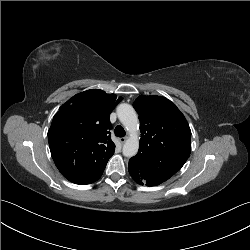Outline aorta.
Masks as SVG:
<instances>
[{
	"label": "aorta",
	"instance_id": "obj_1",
	"mask_svg": "<svg viewBox=\"0 0 250 250\" xmlns=\"http://www.w3.org/2000/svg\"><path fill=\"white\" fill-rule=\"evenodd\" d=\"M117 115L120 122L130 133L129 138L123 145V155L133 157L139 149V138L137 134L139 122L137 114L131 105L123 103L117 107Z\"/></svg>",
	"mask_w": 250,
	"mask_h": 250
}]
</instances>
